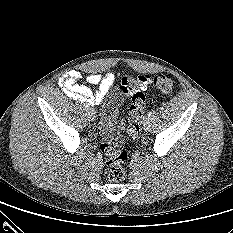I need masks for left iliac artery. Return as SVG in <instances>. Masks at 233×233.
Segmentation results:
<instances>
[{"label": "left iliac artery", "instance_id": "1", "mask_svg": "<svg viewBox=\"0 0 233 233\" xmlns=\"http://www.w3.org/2000/svg\"><path fill=\"white\" fill-rule=\"evenodd\" d=\"M154 114H155L154 110H151L150 112H148V116H149V117L154 116Z\"/></svg>", "mask_w": 233, "mask_h": 233}]
</instances>
